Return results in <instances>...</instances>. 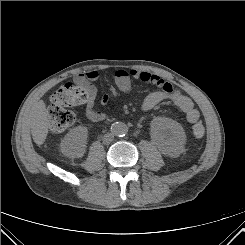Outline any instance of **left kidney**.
I'll list each match as a JSON object with an SVG mask.
<instances>
[{"label": "left kidney", "mask_w": 245, "mask_h": 245, "mask_svg": "<svg viewBox=\"0 0 245 245\" xmlns=\"http://www.w3.org/2000/svg\"><path fill=\"white\" fill-rule=\"evenodd\" d=\"M152 134L162 152L168 155L180 152L185 142L183 127L168 118H157L152 123Z\"/></svg>", "instance_id": "obj_1"}]
</instances>
